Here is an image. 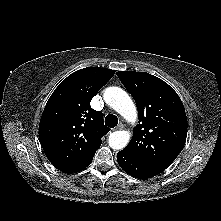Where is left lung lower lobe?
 <instances>
[{"mask_svg":"<svg viewBox=\"0 0 221 221\" xmlns=\"http://www.w3.org/2000/svg\"><path fill=\"white\" fill-rule=\"evenodd\" d=\"M117 161L125 172L139 179L150 178L163 171V169L142 161L124 150L117 154Z\"/></svg>","mask_w":221,"mask_h":221,"instance_id":"left-lung-lower-lobe-1","label":"left lung lower lobe"}]
</instances>
